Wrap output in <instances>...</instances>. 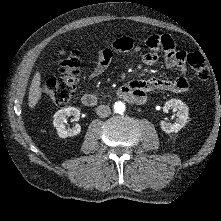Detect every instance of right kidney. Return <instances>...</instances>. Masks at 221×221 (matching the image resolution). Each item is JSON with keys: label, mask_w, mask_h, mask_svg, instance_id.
Here are the masks:
<instances>
[{"label": "right kidney", "mask_w": 221, "mask_h": 221, "mask_svg": "<svg viewBox=\"0 0 221 221\" xmlns=\"http://www.w3.org/2000/svg\"><path fill=\"white\" fill-rule=\"evenodd\" d=\"M67 116H74V120L78 121L80 117L79 109L75 107H68L57 111L54 114L53 125L57 130V134L61 138L72 137L81 132V126L76 124L72 128H67L64 124Z\"/></svg>", "instance_id": "ca27d5eb"}]
</instances>
